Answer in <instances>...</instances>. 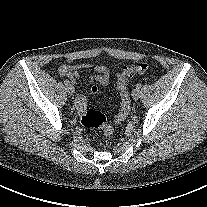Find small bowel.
Segmentation results:
<instances>
[{"label":"small bowel","mask_w":207,"mask_h":207,"mask_svg":"<svg viewBox=\"0 0 207 207\" xmlns=\"http://www.w3.org/2000/svg\"><path fill=\"white\" fill-rule=\"evenodd\" d=\"M89 70L93 74L90 76L89 81L97 82L102 86H105L109 82L110 71L104 65H94L90 63L80 64H63L59 67V73L62 76H66L73 84H76L80 78L81 71Z\"/></svg>","instance_id":"c3829d8e"}]
</instances>
